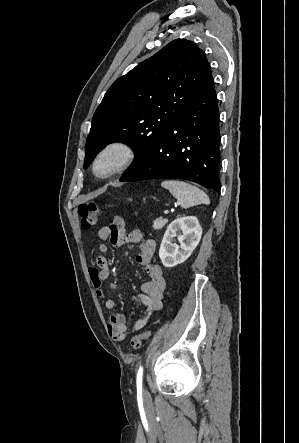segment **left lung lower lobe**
Masks as SVG:
<instances>
[{
	"label": "left lung lower lobe",
	"instance_id": "1",
	"mask_svg": "<svg viewBox=\"0 0 299 443\" xmlns=\"http://www.w3.org/2000/svg\"><path fill=\"white\" fill-rule=\"evenodd\" d=\"M219 146V112L212 78L146 157L120 181L179 178L220 193Z\"/></svg>",
	"mask_w": 299,
	"mask_h": 443
}]
</instances>
